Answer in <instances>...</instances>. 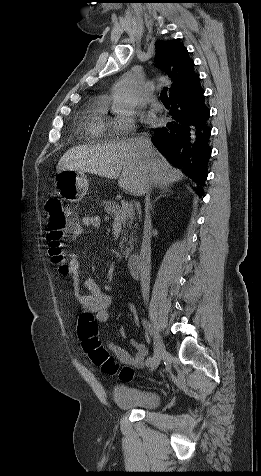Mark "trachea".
<instances>
[{"mask_svg": "<svg viewBox=\"0 0 261 476\" xmlns=\"http://www.w3.org/2000/svg\"><path fill=\"white\" fill-rule=\"evenodd\" d=\"M160 99L162 102L169 101L168 95H167V88L163 89L160 93Z\"/></svg>", "mask_w": 261, "mask_h": 476, "instance_id": "3493384b", "label": "trachea"}]
</instances>
